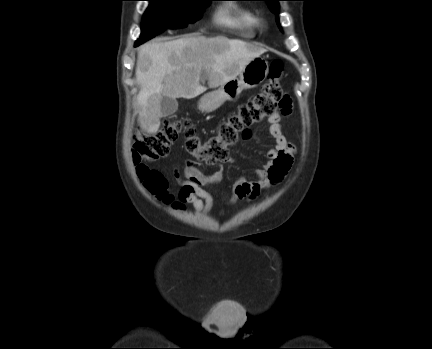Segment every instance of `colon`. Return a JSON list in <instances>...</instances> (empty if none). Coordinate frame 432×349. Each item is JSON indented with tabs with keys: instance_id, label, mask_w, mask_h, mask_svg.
<instances>
[{
	"instance_id": "1",
	"label": "colon",
	"mask_w": 432,
	"mask_h": 349,
	"mask_svg": "<svg viewBox=\"0 0 432 349\" xmlns=\"http://www.w3.org/2000/svg\"><path fill=\"white\" fill-rule=\"evenodd\" d=\"M283 70L281 60L272 61L268 81L260 93L228 114L218 125L216 133L206 141L200 139L196 128L187 119H169L155 133H138L133 141L132 155L137 174L146 188L159 199L167 202L172 200L166 177L149 169L148 163L166 156L181 134L185 135V150L188 154L199 161L214 164L224 160L228 149L239 139L250 136L251 125L273 116L277 110L290 108L291 100L281 86Z\"/></svg>"
}]
</instances>
